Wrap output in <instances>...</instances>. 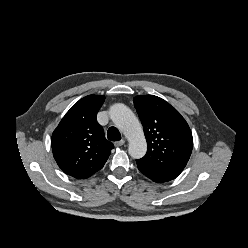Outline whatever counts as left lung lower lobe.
<instances>
[{"label":"left lung lower lobe","mask_w":248,"mask_h":248,"mask_svg":"<svg viewBox=\"0 0 248 248\" xmlns=\"http://www.w3.org/2000/svg\"><path fill=\"white\" fill-rule=\"evenodd\" d=\"M138 169L142 172L145 176L153 180L154 182L162 183L167 182L170 180L175 179L179 174L158 169L153 166H150L141 160H136Z\"/></svg>","instance_id":"1"}]
</instances>
